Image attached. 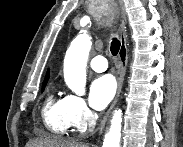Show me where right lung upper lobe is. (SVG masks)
<instances>
[{"instance_id": "obj_1", "label": "right lung upper lobe", "mask_w": 183, "mask_h": 147, "mask_svg": "<svg viewBox=\"0 0 183 147\" xmlns=\"http://www.w3.org/2000/svg\"><path fill=\"white\" fill-rule=\"evenodd\" d=\"M48 78H49V72L47 73V75H46V77H45V80H44L43 84L47 83Z\"/></svg>"}]
</instances>
